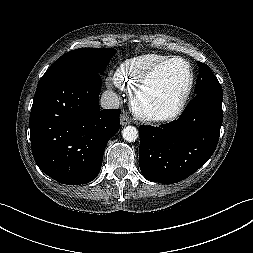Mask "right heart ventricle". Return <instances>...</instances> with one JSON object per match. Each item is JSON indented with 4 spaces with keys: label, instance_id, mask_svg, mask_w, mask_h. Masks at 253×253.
Returning <instances> with one entry per match:
<instances>
[{
    "label": "right heart ventricle",
    "instance_id": "1",
    "mask_svg": "<svg viewBox=\"0 0 253 253\" xmlns=\"http://www.w3.org/2000/svg\"><path fill=\"white\" fill-rule=\"evenodd\" d=\"M169 58L166 55L148 53L122 62L113 74V82L122 90L132 94L144 73L155 63Z\"/></svg>",
    "mask_w": 253,
    "mask_h": 253
}]
</instances>
